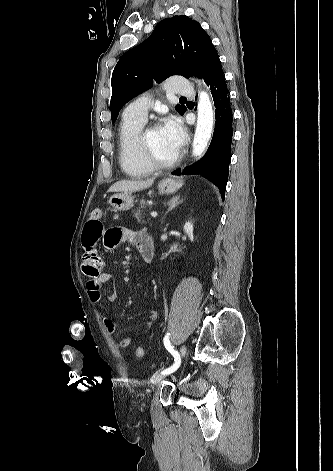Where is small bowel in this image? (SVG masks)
<instances>
[{"label": "small bowel", "instance_id": "obj_1", "mask_svg": "<svg viewBox=\"0 0 333 471\" xmlns=\"http://www.w3.org/2000/svg\"><path fill=\"white\" fill-rule=\"evenodd\" d=\"M147 237L144 232L124 227H113L105 230L100 218L98 220L91 218L87 220L82 234L84 254L81 266L83 273L88 277L86 288L88 296L93 303L97 304L102 301L104 296L102 292L103 285L114 282L113 273L103 269V259L98 250L99 243L103 242L104 246L108 249L115 248L123 243H129L139 250ZM113 297V293L108 295L109 300H112ZM157 317L158 313L154 311L148 322V328L155 322ZM103 323L110 333L117 331V325L112 319L103 316ZM130 344V337H124L120 341L122 348H127Z\"/></svg>", "mask_w": 333, "mask_h": 471}]
</instances>
